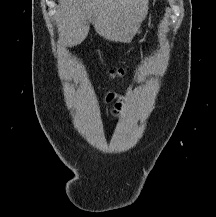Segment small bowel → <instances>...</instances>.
I'll use <instances>...</instances> for the list:
<instances>
[{
  "label": "small bowel",
  "mask_w": 216,
  "mask_h": 217,
  "mask_svg": "<svg viewBox=\"0 0 216 217\" xmlns=\"http://www.w3.org/2000/svg\"><path fill=\"white\" fill-rule=\"evenodd\" d=\"M105 101L107 103L113 104V108L110 112L112 117H116L122 113L125 106V101L120 96L115 93H109L107 94Z\"/></svg>",
  "instance_id": "1"
}]
</instances>
